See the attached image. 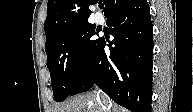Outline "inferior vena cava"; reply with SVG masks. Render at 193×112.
<instances>
[{"instance_id": "obj_1", "label": "inferior vena cava", "mask_w": 193, "mask_h": 112, "mask_svg": "<svg viewBox=\"0 0 193 112\" xmlns=\"http://www.w3.org/2000/svg\"><path fill=\"white\" fill-rule=\"evenodd\" d=\"M105 99H106V98L104 97V95H103L102 93L97 92V100H98L102 105H104Z\"/></svg>"}]
</instances>
